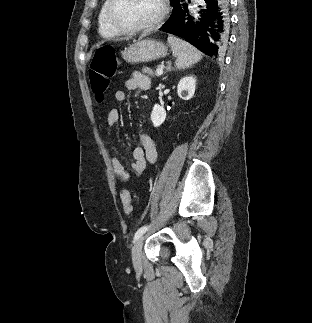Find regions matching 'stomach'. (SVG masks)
I'll return each instance as SVG.
<instances>
[{
	"mask_svg": "<svg viewBox=\"0 0 312 323\" xmlns=\"http://www.w3.org/2000/svg\"><path fill=\"white\" fill-rule=\"evenodd\" d=\"M167 46L156 40H143L139 38L132 46L121 52L123 60L128 64H141V62H152L158 58L167 56Z\"/></svg>",
	"mask_w": 312,
	"mask_h": 323,
	"instance_id": "stomach-1",
	"label": "stomach"
}]
</instances>
